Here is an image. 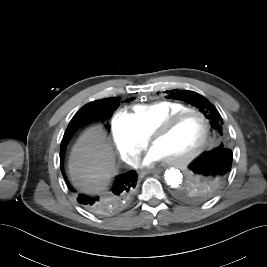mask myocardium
Here are the masks:
<instances>
[{"instance_id":"1","label":"myocardium","mask_w":267,"mask_h":267,"mask_svg":"<svg viewBox=\"0 0 267 267\" xmlns=\"http://www.w3.org/2000/svg\"><path fill=\"white\" fill-rule=\"evenodd\" d=\"M188 115H196L201 118L204 124V134L199 145L190 153L182 157H176L167 159L169 163L175 165H185L191 160L199 156L208 146V140L210 135V123L207 116L197 109H186L177 113L172 114L160 123L149 135V141L153 144L154 140L164 134H166L174 125H176L181 119Z\"/></svg>"}]
</instances>
